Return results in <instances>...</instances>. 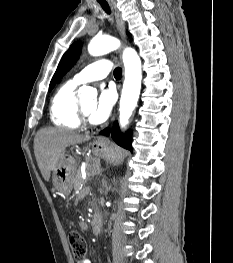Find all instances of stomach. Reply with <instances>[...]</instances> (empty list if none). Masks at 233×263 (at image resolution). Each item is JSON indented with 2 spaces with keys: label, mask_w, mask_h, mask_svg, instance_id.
<instances>
[{
  "label": "stomach",
  "mask_w": 233,
  "mask_h": 263,
  "mask_svg": "<svg viewBox=\"0 0 233 263\" xmlns=\"http://www.w3.org/2000/svg\"><path fill=\"white\" fill-rule=\"evenodd\" d=\"M92 151L96 156L113 161L116 155L113 149L105 144L94 142ZM76 164L73 158L61 155L57 167L53 170V187L62 194H69L72 190V179L75 174Z\"/></svg>",
  "instance_id": "obj_1"
}]
</instances>
